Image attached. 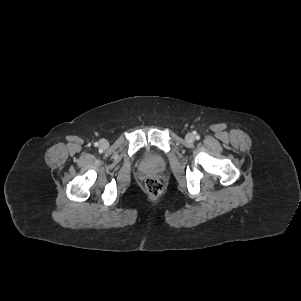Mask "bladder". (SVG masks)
<instances>
[{
    "label": "bladder",
    "instance_id": "1",
    "mask_svg": "<svg viewBox=\"0 0 301 301\" xmlns=\"http://www.w3.org/2000/svg\"><path fill=\"white\" fill-rule=\"evenodd\" d=\"M142 163L145 168L155 171L162 170L165 166L164 158L161 155L152 151H147L144 154Z\"/></svg>",
    "mask_w": 301,
    "mask_h": 301
}]
</instances>
